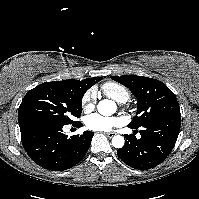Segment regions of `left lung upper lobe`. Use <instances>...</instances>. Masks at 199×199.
Masks as SVG:
<instances>
[{
	"label": "left lung upper lobe",
	"instance_id": "obj_1",
	"mask_svg": "<svg viewBox=\"0 0 199 199\" xmlns=\"http://www.w3.org/2000/svg\"><path fill=\"white\" fill-rule=\"evenodd\" d=\"M111 79L130 89L137 98V113L129 127L139 128L165 116L180 115L174 93L161 81L137 76H111Z\"/></svg>",
	"mask_w": 199,
	"mask_h": 199
}]
</instances>
